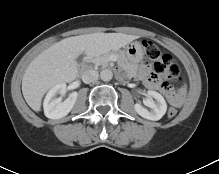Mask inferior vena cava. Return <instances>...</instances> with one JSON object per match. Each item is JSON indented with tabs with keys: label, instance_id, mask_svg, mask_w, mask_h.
Wrapping results in <instances>:
<instances>
[{
	"label": "inferior vena cava",
	"instance_id": "inferior-vena-cava-1",
	"mask_svg": "<svg viewBox=\"0 0 219 174\" xmlns=\"http://www.w3.org/2000/svg\"><path fill=\"white\" fill-rule=\"evenodd\" d=\"M98 77L99 74L96 70H86L82 74V80L86 84L96 81Z\"/></svg>",
	"mask_w": 219,
	"mask_h": 174
}]
</instances>
